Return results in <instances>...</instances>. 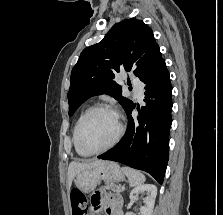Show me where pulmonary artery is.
I'll list each match as a JSON object with an SVG mask.
<instances>
[{
  "mask_svg": "<svg viewBox=\"0 0 223 215\" xmlns=\"http://www.w3.org/2000/svg\"><path fill=\"white\" fill-rule=\"evenodd\" d=\"M132 82L134 89L131 90V93L134 94V98H143L142 90L145 89L146 83L139 82V77H132Z\"/></svg>",
  "mask_w": 223,
  "mask_h": 215,
  "instance_id": "e3ab8cb5",
  "label": "pulmonary artery"
}]
</instances>
